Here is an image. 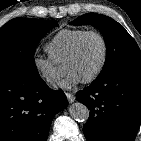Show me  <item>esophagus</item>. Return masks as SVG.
<instances>
[{
  "label": "esophagus",
  "instance_id": "esophagus-1",
  "mask_svg": "<svg viewBox=\"0 0 141 141\" xmlns=\"http://www.w3.org/2000/svg\"><path fill=\"white\" fill-rule=\"evenodd\" d=\"M66 97L69 103H72L75 101V96L72 93H66Z\"/></svg>",
  "mask_w": 141,
  "mask_h": 141
}]
</instances>
